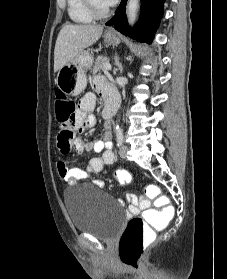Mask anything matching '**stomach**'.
Masks as SVG:
<instances>
[{
  "label": "stomach",
  "instance_id": "1",
  "mask_svg": "<svg viewBox=\"0 0 227 279\" xmlns=\"http://www.w3.org/2000/svg\"><path fill=\"white\" fill-rule=\"evenodd\" d=\"M104 40L117 45L120 40L115 33L106 31ZM93 57L88 50H82L72 61L65 64L57 74V87L66 95L78 96L87 86L86 70L91 67Z\"/></svg>",
  "mask_w": 227,
  "mask_h": 279
}]
</instances>
